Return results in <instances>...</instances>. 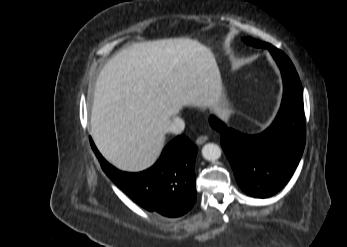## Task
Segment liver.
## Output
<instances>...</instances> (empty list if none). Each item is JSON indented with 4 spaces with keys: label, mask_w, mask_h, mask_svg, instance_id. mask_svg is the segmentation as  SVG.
Masks as SVG:
<instances>
[{
    "label": "liver",
    "mask_w": 347,
    "mask_h": 247,
    "mask_svg": "<svg viewBox=\"0 0 347 247\" xmlns=\"http://www.w3.org/2000/svg\"><path fill=\"white\" fill-rule=\"evenodd\" d=\"M210 48L189 38L135 43L116 53L95 85L91 135L107 161L128 172L152 166L171 117L184 106L230 111Z\"/></svg>",
    "instance_id": "obj_1"
}]
</instances>
